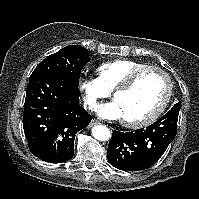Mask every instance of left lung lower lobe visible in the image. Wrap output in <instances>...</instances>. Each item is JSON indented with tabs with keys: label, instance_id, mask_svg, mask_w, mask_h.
Instances as JSON below:
<instances>
[{
	"label": "left lung lower lobe",
	"instance_id": "left-lung-lower-lobe-1",
	"mask_svg": "<svg viewBox=\"0 0 199 199\" xmlns=\"http://www.w3.org/2000/svg\"><path fill=\"white\" fill-rule=\"evenodd\" d=\"M179 109L172 108L154 124L132 132L114 131L108 144V161L123 171H140L154 165L177 134Z\"/></svg>",
	"mask_w": 199,
	"mask_h": 199
}]
</instances>
